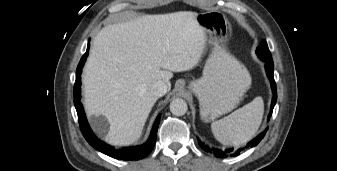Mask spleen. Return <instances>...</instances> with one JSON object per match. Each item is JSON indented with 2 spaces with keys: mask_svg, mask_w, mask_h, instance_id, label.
Returning <instances> with one entry per match:
<instances>
[{
  "mask_svg": "<svg viewBox=\"0 0 337 171\" xmlns=\"http://www.w3.org/2000/svg\"><path fill=\"white\" fill-rule=\"evenodd\" d=\"M264 103L262 97L232 112L211 124L214 137L223 145L239 146L247 143L256 134L262 122Z\"/></svg>",
  "mask_w": 337,
  "mask_h": 171,
  "instance_id": "3e777b00",
  "label": "spleen"
}]
</instances>
